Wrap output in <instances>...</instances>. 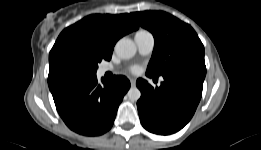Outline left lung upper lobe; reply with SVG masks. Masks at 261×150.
<instances>
[{
    "instance_id": "left-lung-upper-lobe-1",
    "label": "left lung upper lobe",
    "mask_w": 261,
    "mask_h": 150,
    "mask_svg": "<svg viewBox=\"0 0 261 150\" xmlns=\"http://www.w3.org/2000/svg\"><path fill=\"white\" fill-rule=\"evenodd\" d=\"M130 15L154 36V50L146 73L160 76L184 65L206 69L204 46L189 24L163 11Z\"/></svg>"
}]
</instances>
